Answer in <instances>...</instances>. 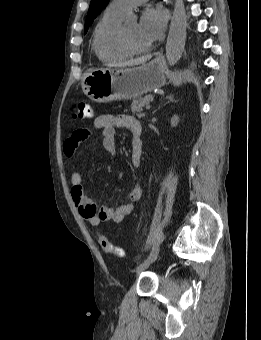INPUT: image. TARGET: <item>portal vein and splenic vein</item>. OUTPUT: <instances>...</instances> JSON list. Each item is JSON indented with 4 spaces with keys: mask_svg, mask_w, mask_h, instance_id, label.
Listing matches in <instances>:
<instances>
[{
    "mask_svg": "<svg viewBox=\"0 0 261 340\" xmlns=\"http://www.w3.org/2000/svg\"><path fill=\"white\" fill-rule=\"evenodd\" d=\"M151 108V105L150 104H147L146 105V110H149Z\"/></svg>",
    "mask_w": 261,
    "mask_h": 340,
    "instance_id": "18ae733b",
    "label": "portal vein and splenic vein"
}]
</instances>
